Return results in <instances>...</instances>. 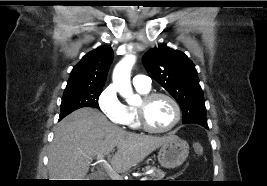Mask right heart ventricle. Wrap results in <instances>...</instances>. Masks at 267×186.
Here are the masks:
<instances>
[{
	"label": "right heart ventricle",
	"instance_id": "right-heart-ventricle-1",
	"mask_svg": "<svg viewBox=\"0 0 267 186\" xmlns=\"http://www.w3.org/2000/svg\"><path fill=\"white\" fill-rule=\"evenodd\" d=\"M137 91L141 94H146L149 90L136 87ZM131 129H139L137 108L134 105H123V123Z\"/></svg>",
	"mask_w": 267,
	"mask_h": 186
}]
</instances>
